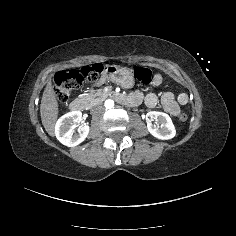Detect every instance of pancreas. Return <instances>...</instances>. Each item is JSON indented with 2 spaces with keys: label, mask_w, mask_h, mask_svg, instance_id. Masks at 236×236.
Masks as SVG:
<instances>
[{
  "label": "pancreas",
  "mask_w": 236,
  "mask_h": 236,
  "mask_svg": "<svg viewBox=\"0 0 236 236\" xmlns=\"http://www.w3.org/2000/svg\"><path fill=\"white\" fill-rule=\"evenodd\" d=\"M109 96H110L109 92L105 93L101 90H97L95 93L81 95L80 99L85 103L86 107L89 109L93 107L95 104L104 101ZM141 111H144V109H142Z\"/></svg>",
  "instance_id": "obj_1"
}]
</instances>
